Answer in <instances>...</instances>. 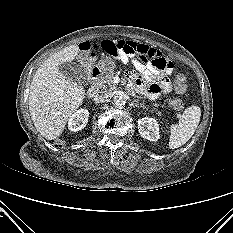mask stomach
<instances>
[{"mask_svg":"<svg viewBox=\"0 0 233 233\" xmlns=\"http://www.w3.org/2000/svg\"><path fill=\"white\" fill-rule=\"evenodd\" d=\"M115 68V62L111 58L100 60L98 63V69L103 73L109 74Z\"/></svg>","mask_w":233,"mask_h":233,"instance_id":"0dacf381","label":"stomach"}]
</instances>
